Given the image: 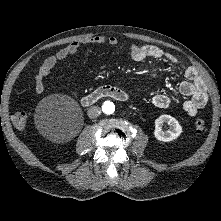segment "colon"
<instances>
[{"instance_id": "5ec220e1", "label": "colon", "mask_w": 221, "mask_h": 221, "mask_svg": "<svg viewBox=\"0 0 221 221\" xmlns=\"http://www.w3.org/2000/svg\"><path fill=\"white\" fill-rule=\"evenodd\" d=\"M12 121L18 129H23L27 123V115L24 112H17L13 115ZM194 127L198 132L206 131V123L202 119L196 120Z\"/></svg>"}]
</instances>
